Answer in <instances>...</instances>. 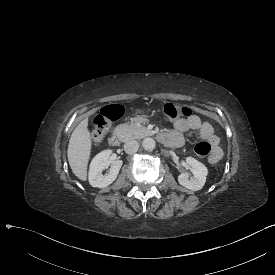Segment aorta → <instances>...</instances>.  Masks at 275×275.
<instances>
[{
  "mask_svg": "<svg viewBox=\"0 0 275 275\" xmlns=\"http://www.w3.org/2000/svg\"><path fill=\"white\" fill-rule=\"evenodd\" d=\"M143 147L146 150H154L156 148V142L152 138H145L143 141Z\"/></svg>",
  "mask_w": 275,
  "mask_h": 275,
  "instance_id": "762f6f07",
  "label": "aorta"
}]
</instances>
